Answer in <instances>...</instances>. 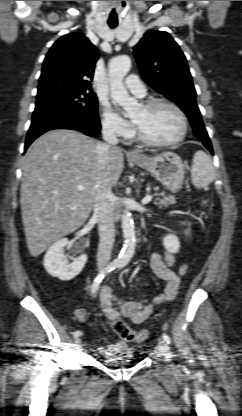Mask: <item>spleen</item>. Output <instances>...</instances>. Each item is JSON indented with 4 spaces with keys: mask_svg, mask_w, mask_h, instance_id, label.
<instances>
[{
    "mask_svg": "<svg viewBox=\"0 0 242 416\" xmlns=\"http://www.w3.org/2000/svg\"><path fill=\"white\" fill-rule=\"evenodd\" d=\"M215 179V169L211 158L204 151H197L193 157L191 180L197 188L208 186Z\"/></svg>",
    "mask_w": 242,
    "mask_h": 416,
    "instance_id": "spleen-1",
    "label": "spleen"
}]
</instances>
